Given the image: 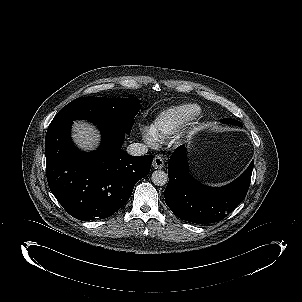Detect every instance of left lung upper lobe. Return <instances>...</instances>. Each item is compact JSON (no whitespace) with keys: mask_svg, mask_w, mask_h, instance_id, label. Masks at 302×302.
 I'll return each instance as SVG.
<instances>
[{"mask_svg":"<svg viewBox=\"0 0 302 302\" xmlns=\"http://www.w3.org/2000/svg\"><path fill=\"white\" fill-rule=\"evenodd\" d=\"M223 123H229L232 125H241L240 122L233 120V119H222L221 120Z\"/></svg>","mask_w":302,"mask_h":302,"instance_id":"obj_1","label":"left lung upper lobe"}]
</instances>
